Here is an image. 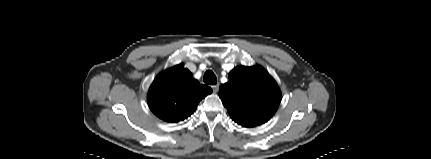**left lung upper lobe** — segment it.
Instances as JSON below:
<instances>
[{
    "instance_id": "left-lung-upper-lobe-1",
    "label": "left lung upper lobe",
    "mask_w": 431,
    "mask_h": 159,
    "mask_svg": "<svg viewBox=\"0 0 431 159\" xmlns=\"http://www.w3.org/2000/svg\"><path fill=\"white\" fill-rule=\"evenodd\" d=\"M219 95L232 120L243 127L267 122L276 112L281 93L275 80L261 66H238Z\"/></svg>"
}]
</instances>
